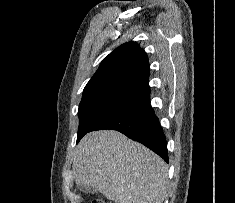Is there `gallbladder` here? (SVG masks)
<instances>
[{
    "instance_id": "1",
    "label": "gallbladder",
    "mask_w": 235,
    "mask_h": 203,
    "mask_svg": "<svg viewBox=\"0 0 235 203\" xmlns=\"http://www.w3.org/2000/svg\"><path fill=\"white\" fill-rule=\"evenodd\" d=\"M78 189L84 193H94L96 189L92 186H86L83 184H78Z\"/></svg>"
}]
</instances>
